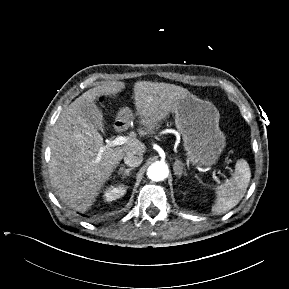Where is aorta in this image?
I'll return each instance as SVG.
<instances>
[{
    "mask_svg": "<svg viewBox=\"0 0 289 289\" xmlns=\"http://www.w3.org/2000/svg\"><path fill=\"white\" fill-rule=\"evenodd\" d=\"M168 166L164 162H155L147 169V176L152 181H162L168 176Z\"/></svg>",
    "mask_w": 289,
    "mask_h": 289,
    "instance_id": "1",
    "label": "aorta"
}]
</instances>
